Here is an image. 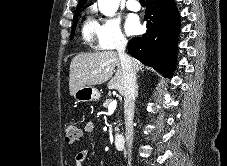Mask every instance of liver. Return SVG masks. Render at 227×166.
<instances>
[{"mask_svg":"<svg viewBox=\"0 0 227 166\" xmlns=\"http://www.w3.org/2000/svg\"><path fill=\"white\" fill-rule=\"evenodd\" d=\"M131 60L135 72L142 69V64L139 61L136 59ZM114 72L115 75L112 77ZM107 81H109V89H116L123 95V71L118 53L115 51L81 53L72 59L69 72L70 95L73 96L82 87L100 85Z\"/></svg>","mask_w":227,"mask_h":166,"instance_id":"obj_1","label":"liver"}]
</instances>
